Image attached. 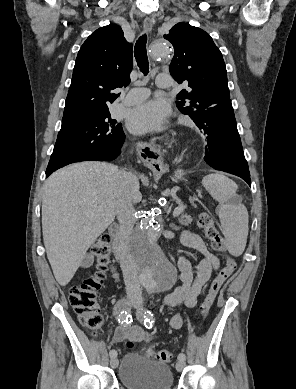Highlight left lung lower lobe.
<instances>
[{
    "instance_id": "0a47b994",
    "label": "left lung lower lobe",
    "mask_w": 296,
    "mask_h": 389,
    "mask_svg": "<svg viewBox=\"0 0 296 389\" xmlns=\"http://www.w3.org/2000/svg\"><path fill=\"white\" fill-rule=\"evenodd\" d=\"M204 120L200 130L205 137V162L216 170L241 177L251 186L231 101L210 108Z\"/></svg>"
}]
</instances>
